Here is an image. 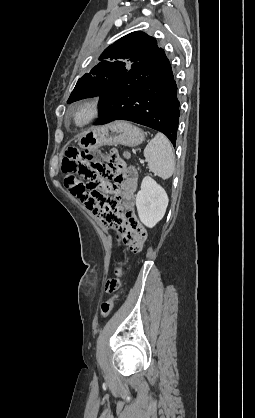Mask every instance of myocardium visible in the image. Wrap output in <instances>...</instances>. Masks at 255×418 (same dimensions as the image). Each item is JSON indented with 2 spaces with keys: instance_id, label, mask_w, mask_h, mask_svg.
Wrapping results in <instances>:
<instances>
[{
  "instance_id": "obj_1",
  "label": "myocardium",
  "mask_w": 255,
  "mask_h": 418,
  "mask_svg": "<svg viewBox=\"0 0 255 418\" xmlns=\"http://www.w3.org/2000/svg\"><path fill=\"white\" fill-rule=\"evenodd\" d=\"M100 115V100L96 97H90L77 102L71 108L68 121L76 128H85L98 120Z\"/></svg>"
}]
</instances>
